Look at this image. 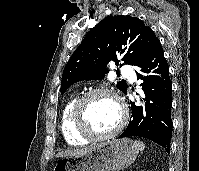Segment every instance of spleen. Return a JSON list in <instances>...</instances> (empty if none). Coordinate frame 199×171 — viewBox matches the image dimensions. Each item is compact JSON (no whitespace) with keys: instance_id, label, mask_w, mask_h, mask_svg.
<instances>
[{"instance_id":"spleen-1","label":"spleen","mask_w":199,"mask_h":171,"mask_svg":"<svg viewBox=\"0 0 199 171\" xmlns=\"http://www.w3.org/2000/svg\"><path fill=\"white\" fill-rule=\"evenodd\" d=\"M135 145L138 147L140 151H143L145 148V145L143 144V142H140V141H135Z\"/></svg>"}]
</instances>
